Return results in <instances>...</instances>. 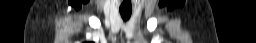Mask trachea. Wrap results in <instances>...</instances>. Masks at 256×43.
<instances>
[{
  "label": "trachea",
  "mask_w": 256,
  "mask_h": 43,
  "mask_svg": "<svg viewBox=\"0 0 256 43\" xmlns=\"http://www.w3.org/2000/svg\"><path fill=\"white\" fill-rule=\"evenodd\" d=\"M120 14H121L123 21H127L132 14V9L131 10H121L120 9Z\"/></svg>",
  "instance_id": "3493384b"
}]
</instances>
